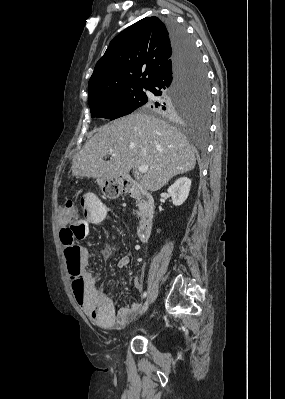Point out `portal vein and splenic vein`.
<instances>
[{
    "instance_id": "obj_1",
    "label": "portal vein and splenic vein",
    "mask_w": 285,
    "mask_h": 399,
    "mask_svg": "<svg viewBox=\"0 0 285 399\" xmlns=\"http://www.w3.org/2000/svg\"><path fill=\"white\" fill-rule=\"evenodd\" d=\"M111 156L114 157V156H116V154H115V153H112ZM148 170H149V167H148L147 165H140V166L138 167V171H139L140 173H145V172H147Z\"/></svg>"
}]
</instances>
